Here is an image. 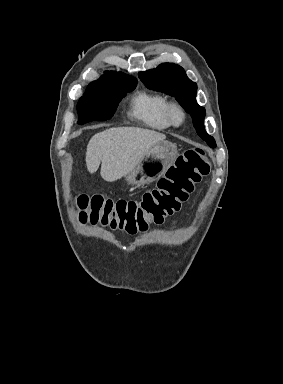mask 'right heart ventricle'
I'll return each instance as SVG.
<instances>
[{
	"mask_svg": "<svg viewBox=\"0 0 283 384\" xmlns=\"http://www.w3.org/2000/svg\"><path fill=\"white\" fill-rule=\"evenodd\" d=\"M168 103L162 94L137 90L129 101V114L147 128L165 131L171 127L165 117Z\"/></svg>",
	"mask_w": 283,
	"mask_h": 384,
	"instance_id": "right-heart-ventricle-1",
	"label": "right heart ventricle"
}]
</instances>
